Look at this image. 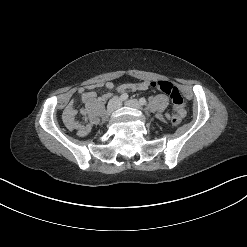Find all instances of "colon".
<instances>
[{"mask_svg":"<svg viewBox=\"0 0 247 247\" xmlns=\"http://www.w3.org/2000/svg\"><path fill=\"white\" fill-rule=\"evenodd\" d=\"M149 84L151 87L170 97L175 109V114L173 115L171 122L173 126H178L181 122V110L183 109L184 99L177 87L171 82L164 80L152 81Z\"/></svg>","mask_w":247,"mask_h":247,"instance_id":"1","label":"colon"}]
</instances>
